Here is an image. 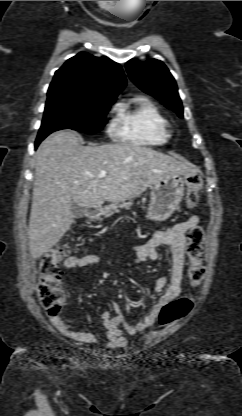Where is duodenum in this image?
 <instances>
[{"label":"duodenum","instance_id":"obj_1","mask_svg":"<svg viewBox=\"0 0 242 416\" xmlns=\"http://www.w3.org/2000/svg\"><path fill=\"white\" fill-rule=\"evenodd\" d=\"M101 211V206H94L87 209L86 215L89 218L96 217Z\"/></svg>","mask_w":242,"mask_h":416}]
</instances>
